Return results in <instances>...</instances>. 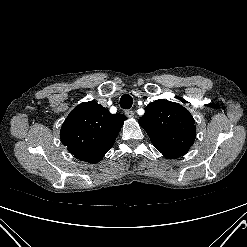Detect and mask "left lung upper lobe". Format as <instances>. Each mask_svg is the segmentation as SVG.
Here are the masks:
<instances>
[{"label":"left lung upper lobe","instance_id":"obj_1","mask_svg":"<svg viewBox=\"0 0 247 247\" xmlns=\"http://www.w3.org/2000/svg\"><path fill=\"white\" fill-rule=\"evenodd\" d=\"M138 123L153 145L170 159L186 154L196 137L195 121L190 112L178 103L163 99L148 104Z\"/></svg>","mask_w":247,"mask_h":247}]
</instances>
